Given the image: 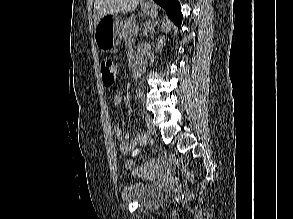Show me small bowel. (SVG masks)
<instances>
[{
	"label": "small bowel",
	"mask_w": 293,
	"mask_h": 219,
	"mask_svg": "<svg viewBox=\"0 0 293 219\" xmlns=\"http://www.w3.org/2000/svg\"><path fill=\"white\" fill-rule=\"evenodd\" d=\"M113 105L116 109H118L122 104V96L120 93H115L113 98ZM114 134L118 140H120L119 149L123 154H129L134 148L140 146L142 140L146 133L144 131H140L136 133L131 139L123 140V132L118 123L114 125Z\"/></svg>",
	"instance_id": "obj_1"
}]
</instances>
